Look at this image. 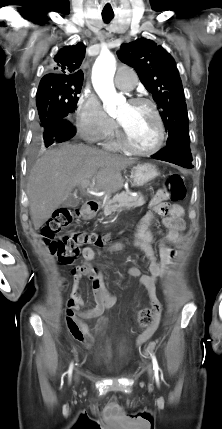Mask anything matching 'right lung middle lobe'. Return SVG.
<instances>
[{
	"label": "right lung middle lobe",
	"instance_id": "right-lung-middle-lobe-1",
	"mask_svg": "<svg viewBox=\"0 0 222 429\" xmlns=\"http://www.w3.org/2000/svg\"><path fill=\"white\" fill-rule=\"evenodd\" d=\"M82 83L66 81L40 82L36 105L40 125L45 129L61 119H69L74 112Z\"/></svg>",
	"mask_w": 222,
	"mask_h": 429
}]
</instances>
